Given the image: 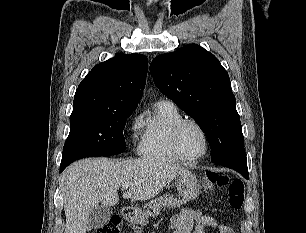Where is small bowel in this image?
Segmentation results:
<instances>
[{"label": "small bowel", "mask_w": 306, "mask_h": 233, "mask_svg": "<svg viewBox=\"0 0 306 233\" xmlns=\"http://www.w3.org/2000/svg\"><path fill=\"white\" fill-rule=\"evenodd\" d=\"M170 227L172 233H204L205 227L216 228L219 233H235L231 227L219 223L214 217L191 209H183L175 215Z\"/></svg>", "instance_id": "small-bowel-1"}]
</instances>
